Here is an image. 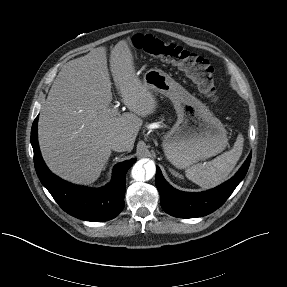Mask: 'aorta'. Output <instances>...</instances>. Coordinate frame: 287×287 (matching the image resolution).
<instances>
[{
  "label": "aorta",
  "mask_w": 287,
  "mask_h": 287,
  "mask_svg": "<svg viewBox=\"0 0 287 287\" xmlns=\"http://www.w3.org/2000/svg\"><path fill=\"white\" fill-rule=\"evenodd\" d=\"M156 172V167L151 160H140L133 166L131 177L135 181H143L145 178H152Z\"/></svg>",
  "instance_id": "762f6f07"
}]
</instances>
